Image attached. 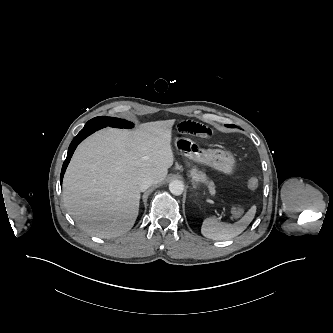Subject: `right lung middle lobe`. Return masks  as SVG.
<instances>
[{
	"label": "right lung middle lobe",
	"mask_w": 333,
	"mask_h": 333,
	"mask_svg": "<svg viewBox=\"0 0 333 333\" xmlns=\"http://www.w3.org/2000/svg\"><path fill=\"white\" fill-rule=\"evenodd\" d=\"M86 125H93V126H111V127H116V128H132L133 123L119 119V118H114V117H106V116H101V117H95L88 121Z\"/></svg>",
	"instance_id": "right-lung-middle-lobe-1"
}]
</instances>
